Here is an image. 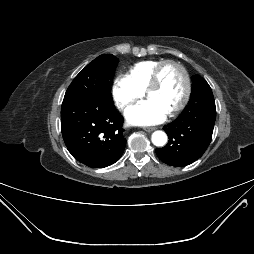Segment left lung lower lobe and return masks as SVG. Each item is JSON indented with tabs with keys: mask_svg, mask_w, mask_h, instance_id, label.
<instances>
[{
	"mask_svg": "<svg viewBox=\"0 0 254 254\" xmlns=\"http://www.w3.org/2000/svg\"><path fill=\"white\" fill-rule=\"evenodd\" d=\"M215 119V105L189 103L176 120L163 127L169 140L165 147L156 149L159 159L175 167L199 159L211 142Z\"/></svg>",
	"mask_w": 254,
	"mask_h": 254,
	"instance_id": "left-lung-lower-lobe-1",
	"label": "left lung lower lobe"
}]
</instances>
